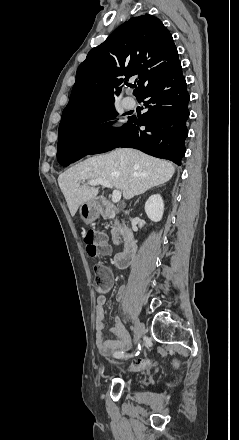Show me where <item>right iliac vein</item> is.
I'll return each mask as SVG.
<instances>
[{
  "instance_id": "63e3f726",
  "label": "right iliac vein",
  "mask_w": 239,
  "mask_h": 440,
  "mask_svg": "<svg viewBox=\"0 0 239 440\" xmlns=\"http://www.w3.org/2000/svg\"><path fill=\"white\" fill-rule=\"evenodd\" d=\"M144 333H145L144 324L140 321H137L134 327V341L135 342L139 341Z\"/></svg>"
}]
</instances>
